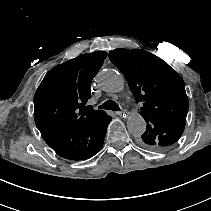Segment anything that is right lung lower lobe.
Wrapping results in <instances>:
<instances>
[{
	"label": "right lung lower lobe",
	"instance_id": "right-lung-lower-lobe-1",
	"mask_svg": "<svg viewBox=\"0 0 211 211\" xmlns=\"http://www.w3.org/2000/svg\"><path fill=\"white\" fill-rule=\"evenodd\" d=\"M111 119L103 112L85 125L61 132L45 139V142L65 159L85 160L91 158L102 147Z\"/></svg>",
	"mask_w": 211,
	"mask_h": 211
}]
</instances>
